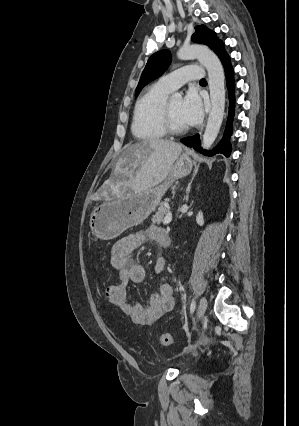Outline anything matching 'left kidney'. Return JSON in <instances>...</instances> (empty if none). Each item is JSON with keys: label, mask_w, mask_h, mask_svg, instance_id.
<instances>
[{"label": "left kidney", "mask_w": 299, "mask_h": 426, "mask_svg": "<svg viewBox=\"0 0 299 426\" xmlns=\"http://www.w3.org/2000/svg\"><path fill=\"white\" fill-rule=\"evenodd\" d=\"M196 222L200 226H203V224H204L203 213L201 211L196 216Z\"/></svg>", "instance_id": "obj_1"}]
</instances>
